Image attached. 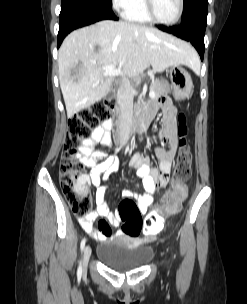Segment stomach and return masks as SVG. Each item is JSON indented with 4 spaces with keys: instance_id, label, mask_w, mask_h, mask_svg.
I'll return each instance as SVG.
<instances>
[{
    "instance_id": "obj_1",
    "label": "stomach",
    "mask_w": 247,
    "mask_h": 304,
    "mask_svg": "<svg viewBox=\"0 0 247 304\" xmlns=\"http://www.w3.org/2000/svg\"><path fill=\"white\" fill-rule=\"evenodd\" d=\"M171 80L170 89L177 100L190 96L193 83L190 74L181 66H171L168 70Z\"/></svg>"
}]
</instances>
